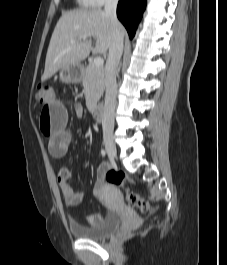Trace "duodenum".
I'll return each mask as SVG.
<instances>
[{
	"label": "duodenum",
	"mask_w": 227,
	"mask_h": 265,
	"mask_svg": "<svg viewBox=\"0 0 227 265\" xmlns=\"http://www.w3.org/2000/svg\"><path fill=\"white\" fill-rule=\"evenodd\" d=\"M92 116L97 121H102L104 118V107L101 104H96L91 109Z\"/></svg>",
	"instance_id": "1"
}]
</instances>
